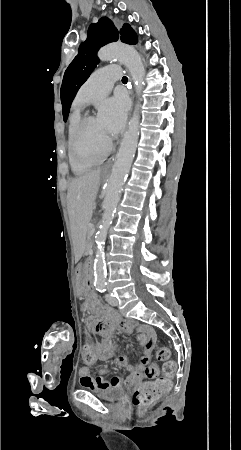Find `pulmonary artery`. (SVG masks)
I'll list each match as a JSON object with an SVG mask.
<instances>
[{"mask_svg":"<svg viewBox=\"0 0 241 450\" xmlns=\"http://www.w3.org/2000/svg\"><path fill=\"white\" fill-rule=\"evenodd\" d=\"M120 66L118 64H102L101 69H94L93 76L80 89L76 96L78 104H87L109 94L112 85H105L108 78H119Z\"/></svg>","mask_w":241,"mask_h":450,"instance_id":"obj_1","label":"pulmonary artery"}]
</instances>
